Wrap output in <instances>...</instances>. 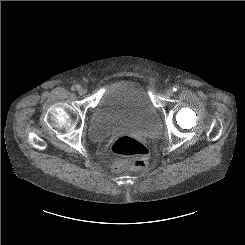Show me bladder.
Wrapping results in <instances>:
<instances>
[{
	"instance_id": "1",
	"label": "bladder",
	"mask_w": 245,
	"mask_h": 245,
	"mask_svg": "<svg viewBox=\"0 0 245 245\" xmlns=\"http://www.w3.org/2000/svg\"><path fill=\"white\" fill-rule=\"evenodd\" d=\"M161 120L145 85L134 76L119 78L103 93L87 123V134L102 141L120 127L152 135Z\"/></svg>"
}]
</instances>
